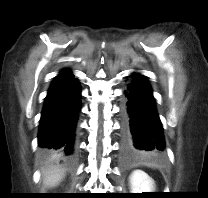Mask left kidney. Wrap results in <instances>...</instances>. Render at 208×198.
Returning a JSON list of instances; mask_svg holds the SVG:
<instances>
[{
	"label": "left kidney",
	"mask_w": 208,
	"mask_h": 198,
	"mask_svg": "<svg viewBox=\"0 0 208 198\" xmlns=\"http://www.w3.org/2000/svg\"><path fill=\"white\" fill-rule=\"evenodd\" d=\"M129 179L131 193L154 192V181L145 172L135 170Z\"/></svg>",
	"instance_id": "1"
}]
</instances>
